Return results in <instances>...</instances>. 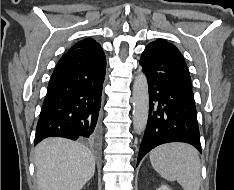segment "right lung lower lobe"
Segmentation results:
<instances>
[{"label": "right lung lower lobe", "mask_w": 234, "mask_h": 190, "mask_svg": "<svg viewBox=\"0 0 234 190\" xmlns=\"http://www.w3.org/2000/svg\"><path fill=\"white\" fill-rule=\"evenodd\" d=\"M106 58L101 47L64 54L48 85L35 145L47 137L95 142L99 137Z\"/></svg>", "instance_id": "1"}]
</instances>
